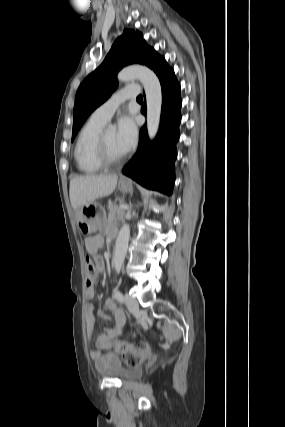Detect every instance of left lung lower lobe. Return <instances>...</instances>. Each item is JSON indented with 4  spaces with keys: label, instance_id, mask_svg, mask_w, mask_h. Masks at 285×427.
Listing matches in <instances>:
<instances>
[{
    "label": "left lung lower lobe",
    "instance_id": "0a47b994",
    "mask_svg": "<svg viewBox=\"0 0 285 427\" xmlns=\"http://www.w3.org/2000/svg\"><path fill=\"white\" fill-rule=\"evenodd\" d=\"M162 88L160 129L156 139L150 142L146 125L140 130L137 154L124 167L122 173L146 188L171 195L175 181L176 142L179 139L181 120L180 84L175 73L162 58L154 67ZM141 112L146 114V105Z\"/></svg>",
    "mask_w": 285,
    "mask_h": 427
}]
</instances>
